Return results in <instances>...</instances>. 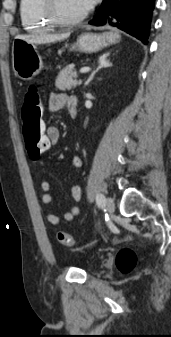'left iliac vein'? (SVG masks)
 <instances>
[{"label":"left iliac vein","instance_id":"left-iliac-vein-1","mask_svg":"<svg viewBox=\"0 0 171 337\" xmlns=\"http://www.w3.org/2000/svg\"><path fill=\"white\" fill-rule=\"evenodd\" d=\"M105 209L107 210L108 213H113L115 210V204H114V200L110 197H108L105 200Z\"/></svg>","mask_w":171,"mask_h":337}]
</instances>
